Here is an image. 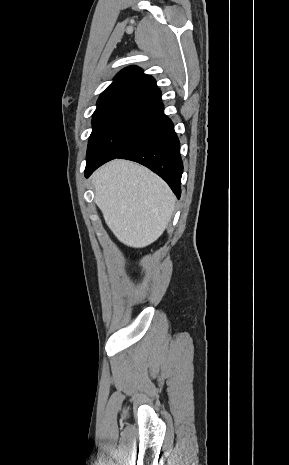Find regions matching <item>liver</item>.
Masks as SVG:
<instances>
[{"instance_id":"6515ba94","label":"liver","mask_w":289,"mask_h":465,"mask_svg":"<svg viewBox=\"0 0 289 465\" xmlns=\"http://www.w3.org/2000/svg\"><path fill=\"white\" fill-rule=\"evenodd\" d=\"M91 181L95 203L120 242L143 248L162 235L173 216L175 196L160 177L116 159L96 170Z\"/></svg>"}]
</instances>
